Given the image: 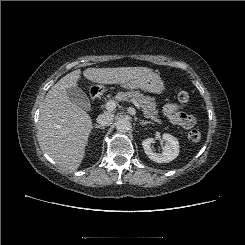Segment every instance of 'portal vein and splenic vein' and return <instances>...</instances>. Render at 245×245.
Instances as JSON below:
<instances>
[{"label":"portal vein and splenic vein","mask_w":245,"mask_h":245,"mask_svg":"<svg viewBox=\"0 0 245 245\" xmlns=\"http://www.w3.org/2000/svg\"><path fill=\"white\" fill-rule=\"evenodd\" d=\"M131 102L137 107L138 110H140V105H139V103L136 100L131 99ZM105 108L108 111L114 110L116 108V102L115 101H112V100L111 101H108L106 103V105H105Z\"/></svg>","instance_id":"obj_1"}]
</instances>
